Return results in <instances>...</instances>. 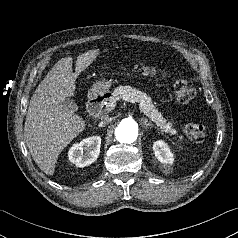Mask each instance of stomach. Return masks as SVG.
I'll list each match as a JSON object with an SVG mask.
<instances>
[{
  "label": "stomach",
  "mask_w": 238,
  "mask_h": 238,
  "mask_svg": "<svg viewBox=\"0 0 238 238\" xmlns=\"http://www.w3.org/2000/svg\"><path fill=\"white\" fill-rule=\"evenodd\" d=\"M111 85H112L111 80H106V79L100 80L91 87L90 93L93 96H97V95L103 96L109 91Z\"/></svg>",
  "instance_id": "stomach-1"
}]
</instances>
